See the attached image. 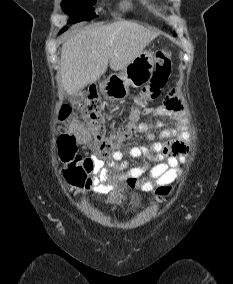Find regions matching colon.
<instances>
[{
  "mask_svg": "<svg viewBox=\"0 0 233 284\" xmlns=\"http://www.w3.org/2000/svg\"><path fill=\"white\" fill-rule=\"evenodd\" d=\"M172 55L167 50L155 53V67L148 83L140 90L134 100L131 111V123L127 128L119 129L108 136L101 117V102L93 98L82 109V113L89 127V139L94 148L103 155L116 151L120 143L130 135L134 122L139 118L140 109L146 108L155 101L165 87L171 71ZM71 108L63 105L60 117L66 118ZM58 150L64 164L62 173L66 182L74 187H83L93 169L91 158L81 156L77 151L76 137L70 133H62L58 138ZM170 186H161L156 190L159 196H167L171 192Z\"/></svg>",
  "mask_w": 233,
  "mask_h": 284,
  "instance_id": "obj_1",
  "label": "colon"
}]
</instances>
